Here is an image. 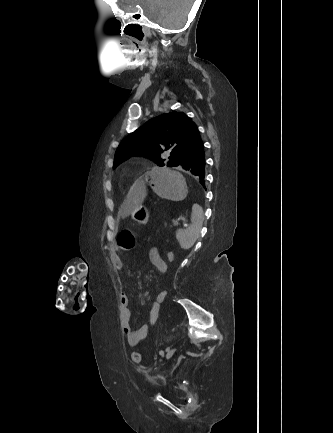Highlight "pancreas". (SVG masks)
Segmentation results:
<instances>
[{
  "label": "pancreas",
  "mask_w": 333,
  "mask_h": 433,
  "mask_svg": "<svg viewBox=\"0 0 333 433\" xmlns=\"http://www.w3.org/2000/svg\"><path fill=\"white\" fill-rule=\"evenodd\" d=\"M178 223L176 221H173V226H177Z\"/></svg>",
  "instance_id": "obj_1"
}]
</instances>
